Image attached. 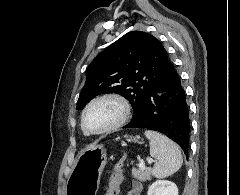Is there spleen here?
<instances>
[{
  "instance_id": "spleen-1",
  "label": "spleen",
  "mask_w": 240,
  "mask_h": 195,
  "mask_svg": "<svg viewBox=\"0 0 240 195\" xmlns=\"http://www.w3.org/2000/svg\"><path fill=\"white\" fill-rule=\"evenodd\" d=\"M145 135L149 139L150 155L156 159L154 167H152V175L168 177L180 169L183 157L181 149L175 141L153 129H146Z\"/></svg>"
}]
</instances>
